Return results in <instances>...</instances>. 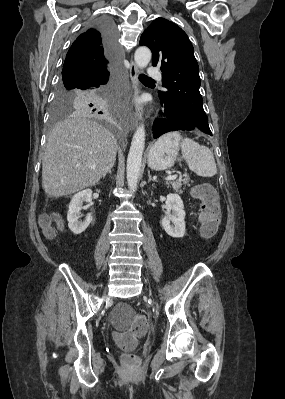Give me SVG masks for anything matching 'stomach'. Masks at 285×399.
<instances>
[{
    "mask_svg": "<svg viewBox=\"0 0 285 399\" xmlns=\"http://www.w3.org/2000/svg\"><path fill=\"white\" fill-rule=\"evenodd\" d=\"M180 136L170 133L160 138L148 153V166L155 171L172 167L179 151Z\"/></svg>",
    "mask_w": 285,
    "mask_h": 399,
    "instance_id": "obj_1",
    "label": "stomach"
}]
</instances>
